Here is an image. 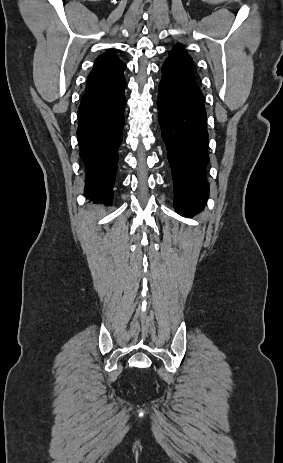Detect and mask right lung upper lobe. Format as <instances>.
<instances>
[{"label":"right lung upper lobe","mask_w":283,"mask_h":463,"mask_svg":"<svg viewBox=\"0 0 283 463\" xmlns=\"http://www.w3.org/2000/svg\"><path fill=\"white\" fill-rule=\"evenodd\" d=\"M125 67L126 65L114 53L109 52L99 56L88 76L86 90L114 81L123 75Z\"/></svg>","instance_id":"1"}]
</instances>
